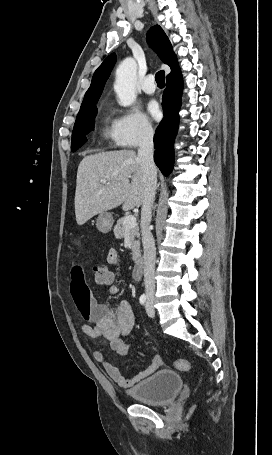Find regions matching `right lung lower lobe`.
Here are the masks:
<instances>
[{"label": "right lung lower lobe", "mask_w": 272, "mask_h": 455, "mask_svg": "<svg viewBox=\"0 0 272 455\" xmlns=\"http://www.w3.org/2000/svg\"><path fill=\"white\" fill-rule=\"evenodd\" d=\"M182 90L181 73L167 79L162 99L164 118L154 136V161L164 176L170 175L174 165L173 143L178 130Z\"/></svg>", "instance_id": "obj_1"}]
</instances>
